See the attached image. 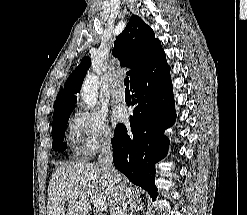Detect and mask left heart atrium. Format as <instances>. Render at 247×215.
Returning a JSON list of instances; mask_svg holds the SVG:
<instances>
[{
	"mask_svg": "<svg viewBox=\"0 0 247 215\" xmlns=\"http://www.w3.org/2000/svg\"><path fill=\"white\" fill-rule=\"evenodd\" d=\"M124 116H125V112H124V110H123L122 108H120V107L116 108V109L113 111L112 117H113V119H114L115 121H120V120H122V119L124 118Z\"/></svg>",
	"mask_w": 247,
	"mask_h": 215,
	"instance_id": "39dd6f15",
	"label": "left heart atrium"
}]
</instances>
